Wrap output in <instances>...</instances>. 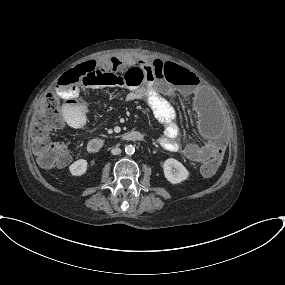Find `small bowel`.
<instances>
[{"label": "small bowel", "instance_id": "1", "mask_svg": "<svg viewBox=\"0 0 285 285\" xmlns=\"http://www.w3.org/2000/svg\"><path fill=\"white\" fill-rule=\"evenodd\" d=\"M119 67L139 64L144 72L147 85L142 91H130L126 94L128 101L145 100L153 117L163 125V132L158 142L165 150L181 152L186 158L195 162H206L216 154H223L224 143L220 139L218 130L212 123L204 122L200 127L201 140L196 138H183L176 121V111L160 93L161 89L173 94L179 93L182 86L190 85L195 80L193 73L177 64H173V75L165 81L157 76L156 64L163 63L156 60L151 63L146 60H135L130 56L116 57ZM88 89L97 90L114 85L103 80L84 83ZM59 94L65 100L63 113L70 128H80L81 121L89 116L88 103L84 97L83 89L78 86L69 87L65 84L59 86Z\"/></svg>", "mask_w": 285, "mask_h": 285}]
</instances>
